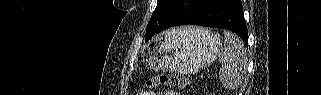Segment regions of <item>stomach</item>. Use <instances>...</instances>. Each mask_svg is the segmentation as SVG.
<instances>
[{
    "instance_id": "stomach-1",
    "label": "stomach",
    "mask_w": 321,
    "mask_h": 95,
    "mask_svg": "<svg viewBox=\"0 0 321 95\" xmlns=\"http://www.w3.org/2000/svg\"><path fill=\"white\" fill-rule=\"evenodd\" d=\"M220 47V36L207 30L172 29L152 42L145 62L156 71L192 73L213 62Z\"/></svg>"
}]
</instances>
